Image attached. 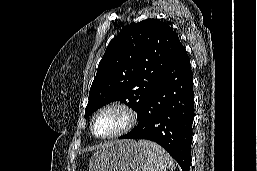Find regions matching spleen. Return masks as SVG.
Masks as SVG:
<instances>
[{
  "label": "spleen",
  "instance_id": "1",
  "mask_svg": "<svg viewBox=\"0 0 257 171\" xmlns=\"http://www.w3.org/2000/svg\"><path fill=\"white\" fill-rule=\"evenodd\" d=\"M138 144L144 149L145 155L142 171H167L175 168L173 159L158 144L148 140H139Z\"/></svg>",
  "mask_w": 257,
  "mask_h": 171
}]
</instances>
